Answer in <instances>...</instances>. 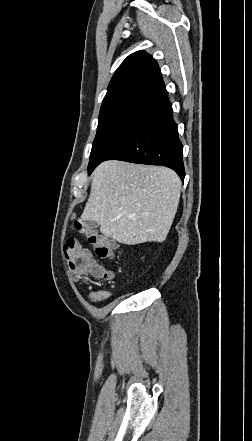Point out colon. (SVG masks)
Instances as JSON below:
<instances>
[{"instance_id": "1", "label": "colon", "mask_w": 252, "mask_h": 441, "mask_svg": "<svg viewBox=\"0 0 252 441\" xmlns=\"http://www.w3.org/2000/svg\"><path fill=\"white\" fill-rule=\"evenodd\" d=\"M74 228L82 233L88 244L101 258H112L115 246L112 241L97 230L88 227L81 221L74 222ZM65 256L73 277L85 283L91 282V278L111 279L113 273L98 266L91 255V252L77 240H69L64 246Z\"/></svg>"}]
</instances>
